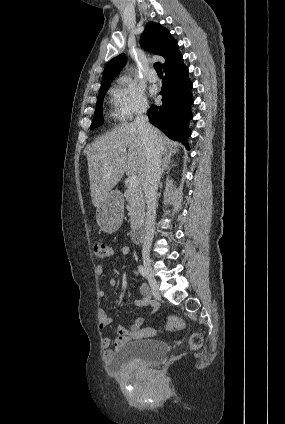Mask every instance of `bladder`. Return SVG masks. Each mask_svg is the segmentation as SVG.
<instances>
[{
	"mask_svg": "<svg viewBox=\"0 0 285 424\" xmlns=\"http://www.w3.org/2000/svg\"><path fill=\"white\" fill-rule=\"evenodd\" d=\"M169 345L163 341L136 340L119 347L112 353L109 367L114 372H126L139 364L147 367L158 365L168 354Z\"/></svg>",
	"mask_w": 285,
	"mask_h": 424,
	"instance_id": "31cf9c89",
	"label": "bladder"
}]
</instances>
